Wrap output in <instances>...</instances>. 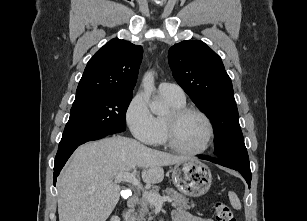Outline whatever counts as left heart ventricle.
I'll return each mask as SVG.
<instances>
[{"label": "left heart ventricle", "mask_w": 307, "mask_h": 221, "mask_svg": "<svg viewBox=\"0 0 307 221\" xmlns=\"http://www.w3.org/2000/svg\"><path fill=\"white\" fill-rule=\"evenodd\" d=\"M207 133L205 121L196 114H188L176 124L175 142L183 149L197 150L204 146Z\"/></svg>", "instance_id": "obj_1"}]
</instances>
